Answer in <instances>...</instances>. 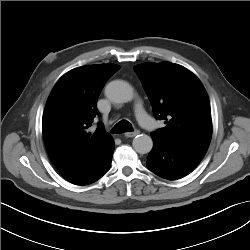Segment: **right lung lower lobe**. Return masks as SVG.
<instances>
[{
    "label": "right lung lower lobe",
    "instance_id": "right-lung-lower-lobe-1",
    "mask_svg": "<svg viewBox=\"0 0 250 250\" xmlns=\"http://www.w3.org/2000/svg\"><path fill=\"white\" fill-rule=\"evenodd\" d=\"M114 152L113 139L95 155L78 166L62 172V176L76 185H88L100 179L110 168Z\"/></svg>",
    "mask_w": 250,
    "mask_h": 250
}]
</instances>
